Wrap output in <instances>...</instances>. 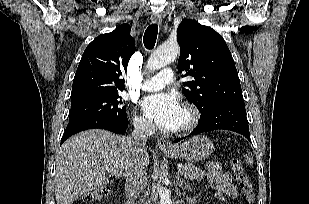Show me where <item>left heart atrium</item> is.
<instances>
[{
    "label": "left heart atrium",
    "instance_id": "39dd6f15",
    "mask_svg": "<svg viewBox=\"0 0 309 204\" xmlns=\"http://www.w3.org/2000/svg\"><path fill=\"white\" fill-rule=\"evenodd\" d=\"M142 106L146 115L161 129L177 128L183 108L176 96L165 93L148 95L143 99Z\"/></svg>",
    "mask_w": 309,
    "mask_h": 204
}]
</instances>
